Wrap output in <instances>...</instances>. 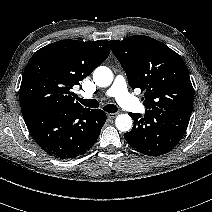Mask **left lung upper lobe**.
<instances>
[{
    "label": "left lung upper lobe",
    "mask_w": 212,
    "mask_h": 212,
    "mask_svg": "<svg viewBox=\"0 0 212 212\" xmlns=\"http://www.w3.org/2000/svg\"><path fill=\"white\" fill-rule=\"evenodd\" d=\"M131 88L146 91L147 109L192 112L194 92L183 59L165 44L144 35L110 41Z\"/></svg>",
    "instance_id": "obj_1"
}]
</instances>
